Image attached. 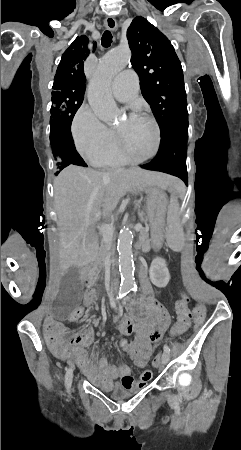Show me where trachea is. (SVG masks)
I'll use <instances>...</instances> for the list:
<instances>
[{"mask_svg": "<svg viewBox=\"0 0 241 450\" xmlns=\"http://www.w3.org/2000/svg\"><path fill=\"white\" fill-rule=\"evenodd\" d=\"M112 34L109 30H106L101 38V43L103 47H110L111 43H112Z\"/></svg>", "mask_w": 241, "mask_h": 450, "instance_id": "3493384b", "label": "trachea"}]
</instances>
